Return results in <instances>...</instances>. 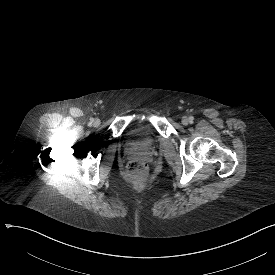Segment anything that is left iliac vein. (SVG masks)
<instances>
[{"label":"left iliac vein","mask_w":275,"mask_h":275,"mask_svg":"<svg viewBox=\"0 0 275 275\" xmlns=\"http://www.w3.org/2000/svg\"><path fill=\"white\" fill-rule=\"evenodd\" d=\"M182 123H183L184 125H188V124H189V119H188L187 117H183V118H182Z\"/></svg>","instance_id":"4c4485c4"}]
</instances>
